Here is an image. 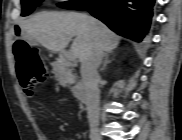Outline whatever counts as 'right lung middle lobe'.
Wrapping results in <instances>:
<instances>
[{
	"label": "right lung middle lobe",
	"mask_w": 182,
	"mask_h": 140,
	"mask_svg": "<svg viewBox=\"0 0 182 140\" xmlns=\"http://www.w3.org/2000/svg\"><path fill=\"white\" fill-rule=\"evenodd\" d=\"M42 0H22V16H27L33 12L35 7L41 2ZM101 0H72L67 2L59 3L58 6L71 9V10H83L87 6L99 4Z\"/></svg>",
	"instance_id": "1"
}]
</instances>
